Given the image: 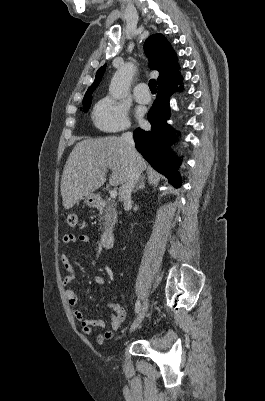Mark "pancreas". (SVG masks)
<instances>
[{"label": "pancreas", "mask_w": 265, "mask_h": 401, "mask_svg": "<svg viewBox=\"0 0 265 401\" xmlns=\"http://www.w3.org/2000/svg\"><path fill=\"white\" fill-rule=\"evenodd\" d=\"M103 207H99V215H97L99 219L100 225H107L109 229H113V225L117 223V209L114 207L113 201H103ZM104 221V223H102Z\"/></svg>", "instance_id": "cf45deb5"}]
</instances>
